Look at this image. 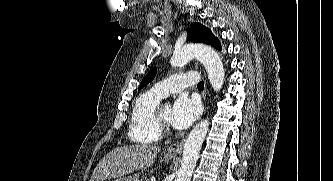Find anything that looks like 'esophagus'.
Wrapping results in <instances>:
<instances>
[{"mask_svg": "<svg viewBox=\"0 0 333 181\" xmlns=\"http://www.w3.org/2000/svg\"><path fill=\"white\" fill-rule=\"evenodd\" d=\"M206 100V91H204L203 93V101L205 103ZM184 145V139H182L181 141H178L176 143L171 144L168 148H167V154L170 155H178L182 152V148Z\"/></svg>", "mask_w": 333, "mask_h": 181, "instance_id": "esophagus-1", "label": "esophagus"}]
</instances>
